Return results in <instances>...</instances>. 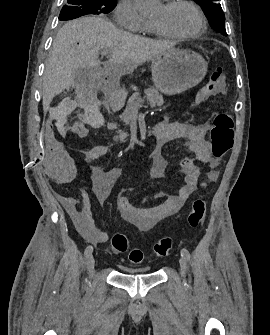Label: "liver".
Wrapping results in <instances>:
<instances>
[{
	"label": "liver",
	"instance_id": "liver-1",
	"mask_svg": "<svg viewBox=\"0 0 270 335\" xmlns=\"http://www.w3.org/2000/svg\"><path fill=\"white\" fill-rule=\"evenodd\" d=\"M174 46L118 30L102 16L67 22L53 42L44 72L43 110L48 112L55 96L78 84L74 78L76 68H81L84 74L85 70H95V66L102 64L97 58L99 50H111L112 58L107 64L112 66L114 76H126L147 60L167 50H176Z\"/></svg>",
	"mask_w": 270,
	"mask_h": 335
}]
</instances>
